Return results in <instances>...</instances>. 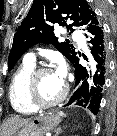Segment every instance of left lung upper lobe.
<instances>
[{"instance_id": "left-lung-upper-lobe-1", "label": "left lung upper lobe", "mask_w": 117, "mask_h": 136, "mask_svg": "<svg viewBox=\"0 0 117 136\" xmlns=\"http://www.w3.org/2000/svg\"><path fill=\"white\" fill-rule=\"evenodd\" d=\"M66 21L72 22L67 25ZM56 25L66 26L70 35L79 27L87 32L100 26L97 15L85 0H34L29 13L14 35L12 49L8 58L10 71L22 54L37 43H52L70 61L76 57L73 45L58 43L54 35ZM86 34V35H87Z\"/></svg>"}]
</instances>
